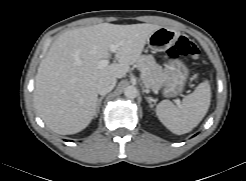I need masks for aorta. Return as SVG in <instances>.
Returning <instances> with one entry per match:
<instances>
[{"label":"aorta","instance_id":"1","mask_svg":"<svg viewBox=\"0 0 246 181\" xmlns=\"http://www.w3.org/2000/svg\"><path fill=\"white\" fill-rule=\"evenodd\" d=\"M124 95L128 99H134L138 95V90L134 86H128L124 90Z\"/></svg>","mask_w":246,"mask_h":181}]
</instances>
